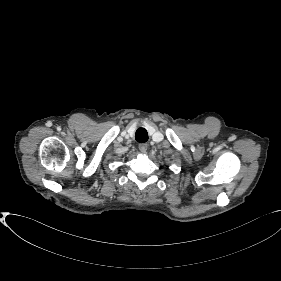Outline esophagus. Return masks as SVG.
<instances>
[{
  "label": "esophagus",
  "mask_w": 281,
  "mask_h": 281,
  "mask_svg": "<svg viewBox=\"0 0 281 281\" xmlns=\"http://www.w3.org/2000/svg\"><path fill=\"white\" fill-rule=\"evenodd\" d=\"M148 149V144L147 143H141L139 144V150L142 152V153H145Z\"/></svg>",
  "instance_id": "1"
}]
</instances>
